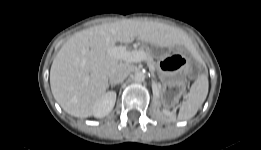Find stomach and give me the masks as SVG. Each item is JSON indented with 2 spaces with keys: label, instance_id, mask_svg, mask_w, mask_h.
I'll use <instances>...</instances> for the list:
<instances>
[{
  "label": "stomach",
  "instance_id": "1",
  "mask_svg": "<svg viewBox=\"0 0 261 150\" xmlns=\"http://www.w3.org/2000/svg\"><path fill=\"white\" fill-rule=\"evenodd\" d=\"M153 53L158 58L157 71L161 79L168 86H183L189 70L188 58L181 53L160 55L158 50Z\"/></svg>",
  "mask_w": 261,
  "mask_h": 150
}]
</instances>
